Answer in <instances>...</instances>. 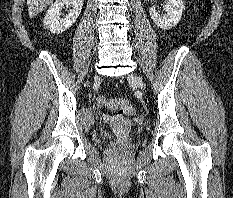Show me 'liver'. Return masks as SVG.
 Listing matches in <instances>:
<instances>
[{
	"label": "liver",
	"instance_id": "liver-1",
	"mask_svg": "<svg viewBox=\"0 0 233 198\" xmlns=\"http://www.w3.org/2000/svg\"><path fill=\"white\" fill-rule=\"evenodd\" d=\"M54 0H27L28 13L30 18L41 13Z\"/></svg>",
	"mask_w": 233,
	"mask_h": 198
}]
</instances>
